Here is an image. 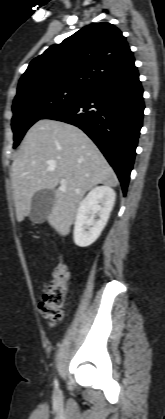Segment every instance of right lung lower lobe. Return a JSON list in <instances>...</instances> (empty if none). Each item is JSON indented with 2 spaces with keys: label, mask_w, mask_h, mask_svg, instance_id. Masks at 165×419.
Returning a JSON list of instances; mask_svg holds the SVG:
<instances>
[{
  "label": "right lung lower lobe",
  "mask_w": 165,
  "mask_h": 419,
  "mask_svg": "<svg viewBox=\"0 0 165 419\" xmlns=\"http://www.w3.org/2000/svg\"><path fill=\"white\" fill-rule=\"evenodd\" d=\"M143 89L133 64L123 73L91 89L80 100L48 113L82 129L115 170L126 193L142 127Z\"/></svg>",
  "instance_id": "obj_1"
}]
</instances>
